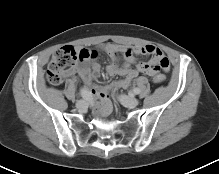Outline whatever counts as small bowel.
Wrapping results in <instances>:
<instances>
[{"instance_id":"obj_1","label":"small bowel","mask_w":219,"mask_h":174,"mask_svg":"<svg viewBox=\"0 0 219 174\" xmlns=\"http://www.w3.org/2000/svg\"><path fill=\"white\" fill-rule=\"evenodd\" d=\"M102 51L107 53L111 58V63L107 66V73L111 76L120 75L124 76L123 79L112 82L105 88L93 87L91 89V95L100 103H105L108 94L115 89L121 87L126 88L135 79L139 73L146 74L148 76H154L158 70L162 69L168 71L170 68L169 60L167 56L163 54L157 47L153 45L144 46H131L124 44L108 43L100 47ZM81 53L90 54L92 51L86 49L79 50ZM95 52V51H94ZM123 58V64H119V56ZM137 55H150L152 60L150 64H139L134 67L136 63ZM90 58L88 56L82 60L81 65L78 68V74L82 81L91 86L92 81L99 75L101 67L96 61H93L91 65L87 64ZM110 112V105L105 103L101 108L100 113L107 115Z\"/></svg>"}]
</instances>
